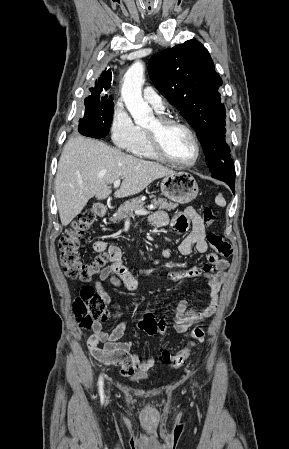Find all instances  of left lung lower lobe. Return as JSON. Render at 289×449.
I'll list each match as a JSON object with an SVG mask.
<instances>
[{
	"label": "left lung lower lobe",
	"mask_w": 289,
	"mask_h": 449,
	"mask_svg": "<svg viewBox=\"0 0 289 449\" xmlns=\"http://www.w3.org/2000/svg\"><path fill=\"white\" fill-rule=\"evenodd\" d=\"M222 181H224L225 183H227L230 186V188L233 191V193L235 192V185H234L235 180H222Z\"/></svg>",
	"instance_id": "1"
}]
</instances>
